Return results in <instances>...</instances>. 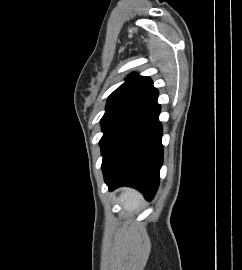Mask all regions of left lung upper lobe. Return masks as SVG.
Instances as JSON below:
<instances>
[{
  "mask_svg": "<svg viewBox=\"0 0 242 270\" xmlns=\"http://www.w3.org/2000/svg\"><path fill=\"white\" fill-rule=\"evenodd\" d=\"M157 89L149 77L132 74L108 98L106 112L101 119L103 136L126 114L150 97Z\"/></svg>",
  "mask_w": 242,
  "mask_h": 270,
  "instance_id": "obj_1",
  "label": "left lung upper lobe"
}]
</instances>
